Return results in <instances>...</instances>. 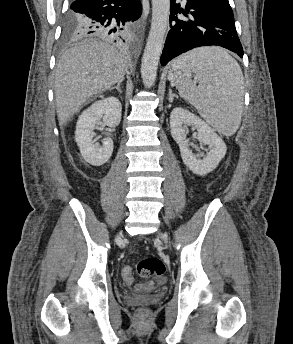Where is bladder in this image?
<instances>
[{
  "instance_id": "1",
  "label": "bladder",
  "mask_w": 293,
  "mask_h": 344,
  "mask_svg": "<svg viewBox=\"0 0 293 344\" xmlns=\"http://www.w3.org/2000/svg\"><path fill=\"white\" fill-rule=\"evenodd\" d=\"M143 300H145V301H151L152 299H151V298H143Z\"/></svg>"
}]
</instances>
